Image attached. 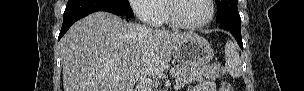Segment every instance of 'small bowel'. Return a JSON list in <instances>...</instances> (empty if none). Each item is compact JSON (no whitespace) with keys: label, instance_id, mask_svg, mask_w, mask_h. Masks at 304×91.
Segmentation results:
<instances>
[{"label":"small bowel","instance_id":"small-bowel-1","mask_svg":"<svg viewBox=\"0 0 304 91\" xmlns=\"http://www.w3.org/2000/svg\"><path fill=\"white\" fill-rule=\"evenodd\" d=\"M214 86L211 81H203L195 85L191 91H214Z\"/></svg>","mask_w":304,"mask_h":91}]
</instances>
